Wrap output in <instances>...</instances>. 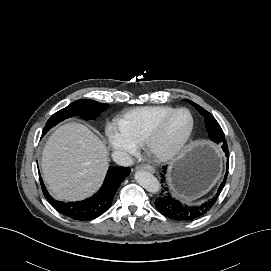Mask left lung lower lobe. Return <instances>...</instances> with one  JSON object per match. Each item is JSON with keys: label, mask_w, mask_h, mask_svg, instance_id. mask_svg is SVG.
Returning <instances> with one entry per match:
<instances>
[{"label": "left lung lower lobe", "mask_w": 271, "mask_h": 271, "mask_svg": "<svg viewBox=\"0 0 271 271\" xmlns=\"http://www.w3.org/2000/svg\"><path fill=\"white\" fill-rule=\"evenodd\" d=\"M222 149L225 152V156L228 159V147L226 141L222 143ZM229 167V164L227 163V169ZM165 173H166V167H164V174L162 175V181H165ZM228 172H226L224 176V180L219 186V189L217 191V194L213 196L208 201L195 206H187L181 204L179 201L172 198V196L169 193V189L164 186L162 195L155 200V206L157 210L163 214L164 216L177 220V221H192L195 219H198L205 215L215 204L217 201V198L222 191L226 179H227Z\"/></svg>", "instance_id": "obj_1"}]
</instances>
